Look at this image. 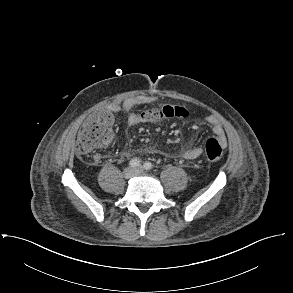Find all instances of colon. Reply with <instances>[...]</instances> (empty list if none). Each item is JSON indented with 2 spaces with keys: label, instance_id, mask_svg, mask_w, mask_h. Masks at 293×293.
<instances>
[{
  "label": "colon",
  "instance_id": "5ec220e1",
  "mask_svg": "<svg viewBox=\"0 0 293 293\" xmlns=\"http://www.w3.org/2000/svg\"><path fill=\"white\" fill-rule=\"evenodd\" d=\"M189 112L186 108L176 105H163L144 113L143 117L170 118L187 117ZM114 118L109 111H99L90 114L83 124L76 142V150L80 155H87L95 148L105 145L112 138ZM223 148L220 143L211 138L205 144V155L209 162L219 161L223 156Z\"/></svg>",
  "mask_w": 293,
  "mask_h": 293
}]
</instances>
